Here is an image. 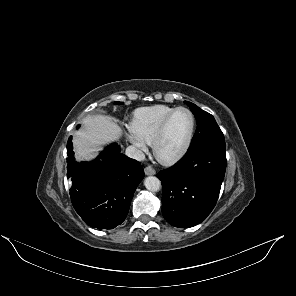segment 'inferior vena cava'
I'll return each mask as SVG.
<instances>
[{
	"label": "inferior vena cava",
	"instance_id": "obj_1",
	"mask_svg": "<svg viewBox=\"0 0 296 296\" xmlns=\"http://www.w3.org/2000/svg\"><path fill=\"white\" fill-rule=\"evenodd\" d=\"M126 155L138 161H143L145 159V154L134 146H129L126 148Z\"/></svg>",
	"mask_w": 296,
	"mask_h": 296
}]
</instances>
